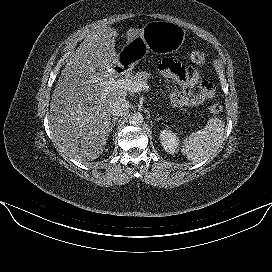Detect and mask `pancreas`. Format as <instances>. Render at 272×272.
<instances>
[{"mask_svg": "<svg viewBox=\"0 0 272 272\" xmlns=\"http://www.w3.org/2000/svg\"><path fill=\"white\" fill-rule=\"evenodd\" d=\"M149 78H151V74L145 71L137 72L135 75L131 77L132 81L144 82V83H147Z\"/></svg>", "mask_w": 272, "mask_h": 272, "instance_id": "pancreas-1", "label": "pancreas"}]
</instances>
